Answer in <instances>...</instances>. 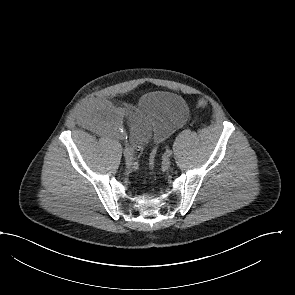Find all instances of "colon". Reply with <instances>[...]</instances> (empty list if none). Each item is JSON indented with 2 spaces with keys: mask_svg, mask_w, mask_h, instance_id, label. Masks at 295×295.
<instances>
[{
  "mask_svg": "<svg viewBox=\"0 0 295 295\" xmlns=\"http://www.w3.org/2000/svg\"><path fill=\"white\" fill-rule=\"evenodd\" d=\"M205 105H206V101L203 100V99H200V100L197 102V106H198V107H204ZM156 155H157L156 150H153V151L150 153V156H149V164H150V166H153V165H154L155 160H156Z\"/></svg>",
  "mask_w": 295,
  "mask_h": 295,
  "instance_id": "colon-1",
  "label": "colon"
}]
</instances>
